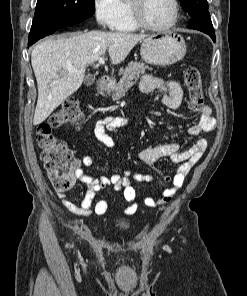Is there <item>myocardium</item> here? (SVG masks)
Returning <instances> with one entry per match:
<instances>
[{
    "mask_svg": "<svg viewBox=\"0 0 247 296\" xmlns=\"http://www.w3.org/2000/svg\"><path fill=\"white\" fill-rule=\"evenodd\" d=\"M142 1L143 0H128L132 19L137 27L147 31L163 32L171 29L178 22L180 13V5L178 0H170L173 7L172 17L168 23L161 26L151 25L144 20L141 12Z\"/></svg>",
    "mask_w": 247,
    "mask_h": 296,
    "instance_id": "myocardium-1",
    "label": "myocardium"
}]
</instances>
